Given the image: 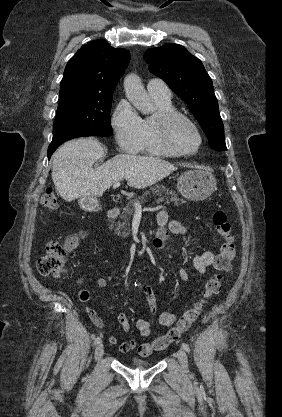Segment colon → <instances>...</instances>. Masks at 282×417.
<instances>
[{
    "label": "colon",
    "mask_w": 282,
    "mask_h": 417,
    "mask_svg": "<svg viewBox=\"0 0 282 417\" xmlns=\"http://www.w3.org/2000/svg\"><path fill=\"white\" fill-rule=\"evenodd\" d=\"M41 203L48 212L55 211L59 206L58 195L52 187H47L41 196ZM213 223L221 238V245L216 257V266L228 270L235 260L236 243L232 234V226L223 211L213 215ZM37 270L44 275L59 278L67 275L65 249L56 242L46 244V253L37 263ZM222 289V278L218 275L208 279L202 292L203 300L197 302L187 310L171 330L166 331L163 339H156L152 347H141V356H152L153 353H162L167 344H175L181 334L198 318L204 307V300L216 296Z\"/></svg>",
    "instance_id": "colon-1"
}]
</instances>
